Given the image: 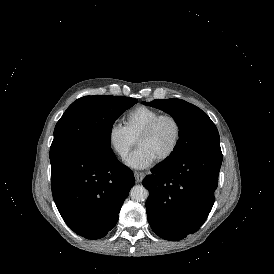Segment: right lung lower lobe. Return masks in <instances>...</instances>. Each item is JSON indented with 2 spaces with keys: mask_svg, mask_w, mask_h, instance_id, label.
Returning a JSON list of instances; mask_svg holds the SVG:
<instances>
[{
  "mask_svg": "<svg viewBox=\"0 0 274 274\" xmlns=\"http://www.w3.org/2000/svg\"><path fill=\"white\" fill-rule=\"evenodd\" d=\"M135 184L113 151L63 155L51 163L55 204L66 224L87 239L104 237Z\"/></svg>",
  "mask_w": 274,
  "mask_h": 274,
  "instance_id": "98d812e1",
  "label": "right lung lower lobe"
}]
</instances>
